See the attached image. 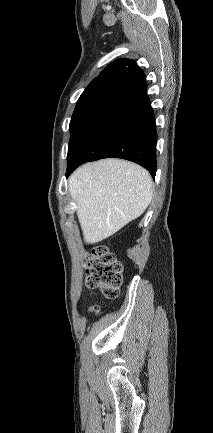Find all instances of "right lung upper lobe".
<instances>
[{"label":"right lung upper lobe","instance_id":"cb5924a9","mask_svg":"<svg viewBox=\"0 0 213 433\" xmlns=\"http://www.w3.org/2000/svg\"><path fill=\"white\" fill-rule=\"evenodd\" d=\"M142 78H144V72L134 60L118 59L109 64L98 77L91 81L79 100L102 94L118 95Z\"/></svg>","mask_w":213,"mask_h":433}]
</instances>
